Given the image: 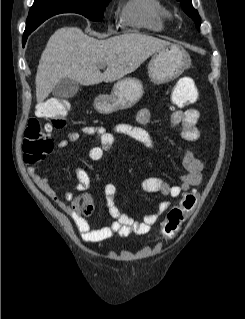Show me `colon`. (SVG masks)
I'll use <instances>...</instances> for the list:
<instances>
[{
  "label": "colon",
  "instance_id": "1",
  "mask_svg": "<svg viewBox=\"0 0 245 319\" xmlns=\"http://www.w3.org/2000/svg\"><path fill=\"white\" fill-rule=\"evenodd\" d=\"M173 99L177 107L191 103V95H186L180 90H174ZM69 109L70 104L64 98H53L39 105L38 114L47 119L48 123L43 125L36 117L28 121L23 140V159L27 165L40 163L52 152L51 132L64 126ZM199 199V192L192 191L168 211L162 224L164 237L172 238L176 235L187 217L196 208Z\"/></svg>",
  "mask_w": 245,
  "mask_h": 319
}]
</instances>
